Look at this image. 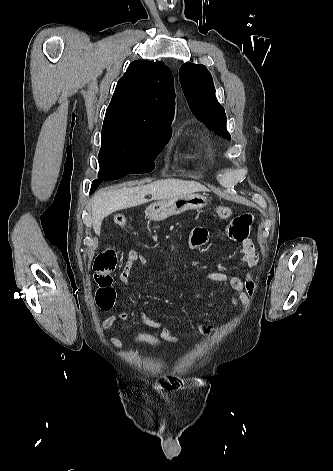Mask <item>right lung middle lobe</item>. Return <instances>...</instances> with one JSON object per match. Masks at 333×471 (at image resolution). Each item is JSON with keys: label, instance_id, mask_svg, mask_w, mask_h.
Masks as SVG:
<instances>
[{"label": "right lung middle lobe", "instance_id": "dd1d6c3e", "mask_svg": "<svg viewBox=\"0 0 333 471\" xmlns=\"http://www.w3.org/2000/svg\"><path fill=\"white\" fill-rule=\"evenodd\" d=\"M171 137V128L122 120H104L100 172L97 180L111 181L132 173H147Z\"/></svg>", "mask_w": 333, "mask_h": 471}]
</instances>
